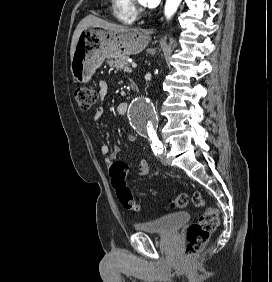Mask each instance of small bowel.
<instances>
[{
  "label": "small bowel",
  "instance_id": "small-bowel-1",
  "mask_svg": "<svg viewBox=\"0 0 272 282\" xmlns=\"http://www.w3.org/2000/svg\"><path fill=\"white\" fill-rule=\"evenodd\" d=\"M107 93H108V83L106 81H101L99 83L100 103L94 111V115H93L94 121H97L104 112V98L106 97ZM128 140L130 142H134L136 140V137L134 135H129ZM101 152L103 153V155H105V163L108 166H111L113 165L114 161L116 160L117 155L120 152V148L118 145H114L111 154H109V147L108 145L104 144L101 147ZM122 164H123V167L126 169L127 165L125 163H122ZM138 168H139V174L141 176H144L150 172L149 164L145 159H142L139 161Z\"/></svg>",
  "mask_w": 272,
  "mask_h": 282
}]
</instances>
